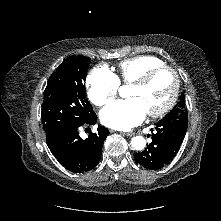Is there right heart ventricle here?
Here are the masks:
<instances>
[{
  "label": "right heart ventricle",
  "instance_id": "right-heart-ventricle-1",
  "mask_svg": "<svg viewBox=\"0 0 221 221\" xmlns=\"http://www.w3.org/2000/svg\"><path fill=\"white\" fill-rule=\"evenodd\" d=\"M164 65L163 61L150 55L136 56L121 61L115 75L119 82L131 84L146 71Z\"/></svg>",
  "mask_w": 221,
  "mask_h": 221
}]
</instances>
